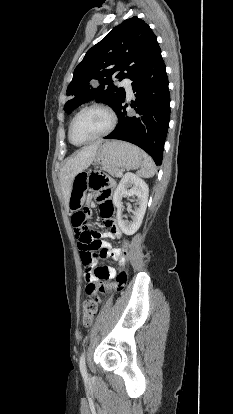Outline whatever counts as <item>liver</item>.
Returning <instances> with one entry per match:
<instances>
[{"label":"liver","mask_w":233,"mask_h":414,"mask_svg":"<svg viewBox=\"0 0 233 414\" xmlns=\"http://www.w3.org/2000/svg\"><path fill=\"white\" fill-rule=\"evenodd\" d=\"M101 141L83 147L76 155L70 157L60 171V183L66 208H69L71 186L74 178L87 169L95 160Z\"/></svg>","instance_id":"1"}]
</instances>
